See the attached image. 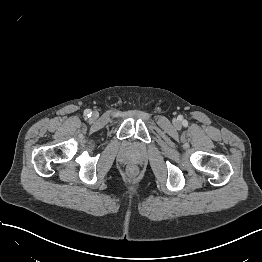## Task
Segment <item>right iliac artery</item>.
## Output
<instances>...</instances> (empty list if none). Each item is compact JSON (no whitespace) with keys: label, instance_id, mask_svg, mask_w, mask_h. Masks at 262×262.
Returning a JSON list of instances; mask_svg holds the SVG:
<instances>
[{"label":"right iliac artery","instance_id":"right-iliac-artery-1","mask_svg":"<svg viewBox=\"0 0 262 262\" xmlns=\"http://www.w3.org/2000/svg\"><path fill=\"white\" fill-rule=\"evenodd\" d=\"M91 114H92V112H91L90 109H86V110L84 111V115H85L86 117H91Z\"/></svg>","mask_w":262,"mask_h":262}]
</instances>
